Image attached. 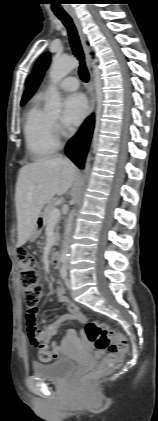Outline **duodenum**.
Wrapping results in <instances>:
<instances>
[{
  "label": "duodenum",
  "mask_w": 158,
  "mask_h": 421,
  "mask_svg": "<svg viewBox=\"0 0 158 421\" xmlns=\"http://www.w3.org/2000/svg\"><path fill=\"white\" fill-rule=\"evenodd\" d=\"M61 262V253L59 251H55L51 256V263L53 267L57 268Z\"/></svg>",
  "instance_id": "duodenum-1"
}]
</instances>
